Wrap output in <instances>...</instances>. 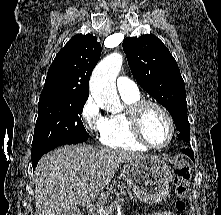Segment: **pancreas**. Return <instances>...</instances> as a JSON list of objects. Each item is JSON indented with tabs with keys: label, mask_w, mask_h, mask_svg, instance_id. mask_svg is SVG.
I'll list each match as a JSON object with an SVG mask.
<instances>
[{
	"label": "pancreas",
	"mask_w": 221,
	"mask_h": 215,
	"mask_svg": "<svg viewBox=\"0 0 221 215\" xmlns=\"http://www.w3.org/2000/svg\"><path fill=\"white\" fill-rule=\"evenodd\" d=\"M116 188L120 192L121 191H126L127 192V194L125 195L126 196L125 200L127 202L135 201V199H134V197H133V195H132V193L130 191V188L128 186H126L125 184H118L116 186ZM110 201L112 202L111 207H113L116 204V202H113V197L111 196V189H108V191L105 194L101 195V197L99 198V202L97 203L96 207H94L92 209V215L98 214L97 210L99 208H107L108 207L107 204ZM120 202H124V201H120ZM107 215H109V214H107Z\"/></svg>",
	"instance_id": "pancreas-1"
}]
</instances>
